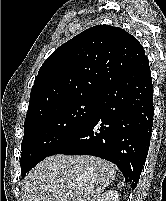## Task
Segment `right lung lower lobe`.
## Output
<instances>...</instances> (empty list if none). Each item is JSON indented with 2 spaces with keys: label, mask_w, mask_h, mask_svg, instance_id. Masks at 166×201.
Segmentation results:
<instances>
[{
  "label": "right lung lower lobe",
  "mask_w": 166,
  "mask_h": 201,
  "mask_svg": "<svg viewBox=\"0 0 166 201\" xmlns=\"http://www.w3.org/2000/svg\"><path fill=\"white\" fill-rule=\"evenodd\" d=\"M153 86L147 56L108 87L92 115L50 154L92 155L117 165L137 186L150 145Z\"/></svg>",
  "instance_id": "right-lung-lower-lobe-1"
}]
</instances>
